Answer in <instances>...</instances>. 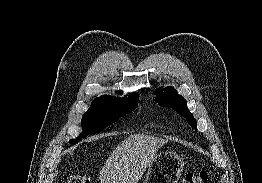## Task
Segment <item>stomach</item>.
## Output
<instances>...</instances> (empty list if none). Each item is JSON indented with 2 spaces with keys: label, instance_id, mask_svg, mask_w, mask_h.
Instances as JSON below:
<instances>
[{
  "label": "stomach",
  "instance_id": "1",
  "mask_svg": "<svg viewBox=\"0 0 262 183\" xmlns=\"http://www.w3.org/2000/svg\"><path fill=\"white\" fill-rule=\"evenodd\" d=\"M183 168V159L178 154L162 152L148 166L143 183H177Z\"/></svg>",
  "mask_w": 262,
  "mask_h": 183
}]
</instances>
